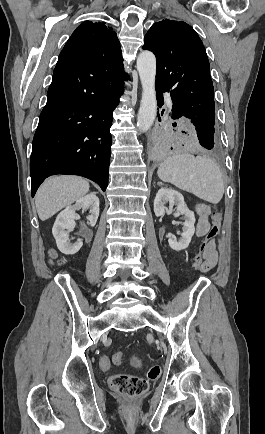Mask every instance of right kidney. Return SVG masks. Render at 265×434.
I'll return each mask as SVG.
<instances>
[{"label":"right kidney","instance_id":"ca27d5eb","mask_svg":"<svg viewBox=\"0 0 265 434\" xmlns=\"http://www.w3.org/2000/svg\"><path fill=\"white\" fill-rule=\"evenodd\" d=\"M99 204V198L95 196V192H92V194L79 198L74 206H67L63 212L58 214L52 228V234L56 240L57 248L62 254H66V256L77 254L83 246V242L70 244L69 234L66 232V230H71V228H75L76 226L74 222L77 216L75 214L76 210H81V208L82 210H90V216H87V220L90 226H95L99 216Z\"/></svg>","mask_w":265,"mask_h":434}]
</instances>
